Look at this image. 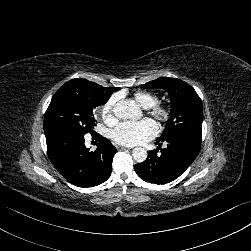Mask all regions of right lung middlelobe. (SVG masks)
Wrapping results in <instances>:
<instances>
[{"label":"right lung middle lobe","mask_w":251,"mask_h":251,"mask_svg":"<svg viewBox=\"0 0 251 251\" xmlns=\"http://www.w3.org/2000/svg\"><path fill=\"white\" fill-rule=\"evenodd\" d=\"M111 94L85 81H68L53 96L44 117V131L62 128L81 135L93 133V110Z\"/></svg>","instance_id":"obj_1"}]
</instances>
